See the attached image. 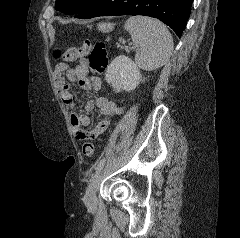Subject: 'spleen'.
<instances>
[{
  "label": "spleen",
  "mask_w": 240,
  "mask_h": 238,
  "mask_svg": "<svg viewBox=\"0 0 240 238\" xmlns=\"http://www.w3.org/2000/svg\"><path fill=\"white\" fill-rule=\"evenodd\" d=\"M125 29L131 35L137 50L136 64L152 71L165 65L173 51V39L166 26L156 19L142 16L130 17Z\"/></svg>",
  "instance_id": "3e777b00"
}]
</instances>
